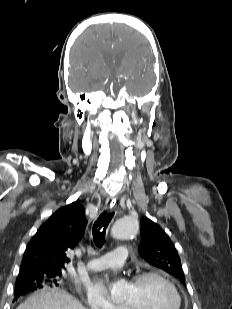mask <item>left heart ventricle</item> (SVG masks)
<instances>
[{"mask_svg": "<svg viewBox=\"0 0 232 309\" xmlns=\"http://www.w3.org/2000/svg\"><path fill=\"white\" fill-rule=\"evenodd\" d=\"M176 300L161 280L151 278L139 284L130 283L124 290L122 304L132 309H173Z\"/></svg>", "mask_w": 232, "mask_h": 309, "instance_id": "left-heart-ventricle-1", "label": "left heart ventricle"}]
</instances>
